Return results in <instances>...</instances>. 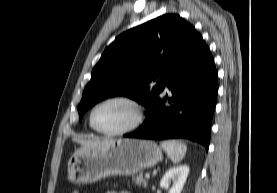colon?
Returning a JSON list of instances; mask_svg holds the SVG:
<instances>
[{
	"instance_id": "5ec220e1",
	"label": "colon",
	"mask_w": 277,
	"mask_h": 193,
	"mask_svg": "<svg viewBox=\"0 0 277 193\" xmlns=\"http://www.w3.org/2000/svg\"><path fill=\"white\" fill-rule=\"evenodd\" d=\"M72 193H80L79 190H74Z\"/></svg>"
}]
</instances>
